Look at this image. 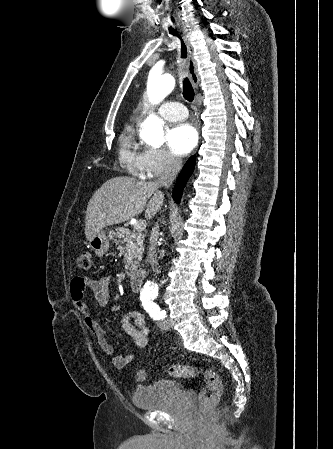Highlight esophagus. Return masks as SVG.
<instances>
[{"instance_id": "obj_1", "label": "esophagus", "mask_w": 333, "mask_h": 449, "mask_svg": "<svg viewBox=\"0 0 333 449\" xmlns=\"http://www.w3.org/2000/svg\"><path fill=\"white\" fill-rule=\"evenodd\" d=\"M182 38L187 47V73L190 78V81L195 89L199 86V75L197 72V63L194 59L193 48L190 42L189 34L186 31H182Z\"/></svg>"}]
</instances>
